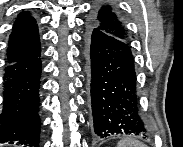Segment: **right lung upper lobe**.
Masks as SVG:
<instances>
[{"mask_svg": "<svg viewBox=\"0 0 183 147\" xmlns=\"http://www.w3.org/2000/svg\"><path fill=\"white\" fill-rule=\"evenodd\" d=\"M40 52L38 28L34 18L27 12L18 15L7 49V63L28 59Z\"/></svg>", "mask_w": 183, "mask_h": 147, "instance_id": "right-lung-upper-lobe-1", "label": "right lung upper lobe"}]
</instances>
